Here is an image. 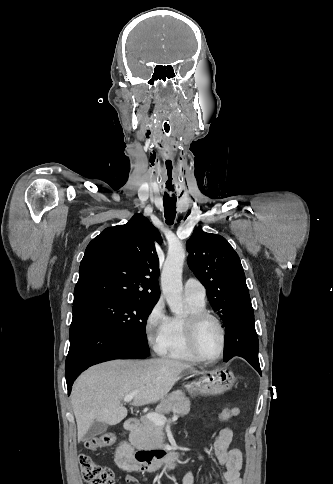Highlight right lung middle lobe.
<instances>
[{"instance_id": "1", "label": "right lung middle lobe", "mask_w": 333, "mask_h": 484, "mask_svg": "<svg viewBox=\"0 0 333 484\" xmlns=\"http://www.w3.org/2000/svg\"><path fill=\"white\" fill-rule=\"evenodd\" d=\"M156 302L147 299L94 295L73 304V310L81 308L94 314L148 356L150 350L145 327Z\"/></svg>"}]
</instances>
